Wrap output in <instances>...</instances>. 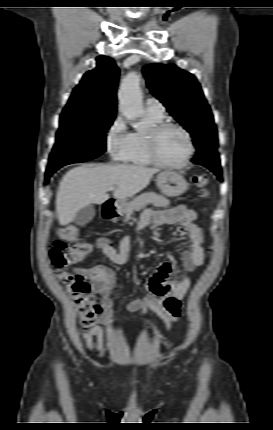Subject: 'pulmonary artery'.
<instances>
[{"mask_svg":"<svg viewBox=\"0 0 273 430\" xmlns=\"http://www.w3.org/2000/svg\"><path fill=\"white\" fill-rule=\"evenodd\" d=\"M146 111L161 116L164 115L165 109L163 104L159 100L155 98H149L146 101Z\"/></svg>","mask_w":273,"mask_h":430,"instance_id":"e3ab8cb5","label":"pulmonary artery"}]
</instances>
